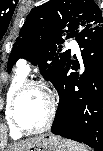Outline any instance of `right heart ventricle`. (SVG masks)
<instances>
[{
	"label": "right heart ventricle",
	"mask_w": 103,
	"mask_h": 151,
	"mask_svg": "<svg viewBox=\"0 0 103 151\" xmlns=\"http://www.w3.org/2000/svg\"><path fill=\"white\" fill-rule=\"evenodd\" d=\"M26 72L23 71L22 69H18L9 88L6 93V101H5V107H4V113H5V118L9 127V134L13 139H19L22 137V134L18 132L14 126L12 125L10 118H9V106H10V101L16 92V90L24 83L25 78H26Z\"/></svg>",
	"instance_id": "1"
}]
</instances>
